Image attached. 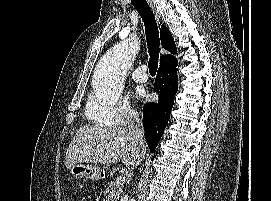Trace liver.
I'll return each mask as SVG.
<instances>
[{
  "label": "liver",
  "instance_id": "liver-1",
  "mask_svg": "<svg viewBox=\"0 0 271 201\" xmlns=\"http://www.w3.org/2000/svg\"><path fill=\"white\" fill-rule=\"evenodd\" d=\"M144 156L127 129L86 125L80 127L72 139L65 165L70 169L78 163L115 164L122 159L128 169H133Z\"/></svg>",
  "mask_w": 271,
  "mask_h": 201
}]
</instances>
